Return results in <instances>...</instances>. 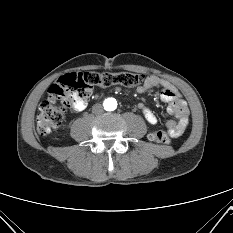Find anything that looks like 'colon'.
<instances>
[{"label": "colon", "mask_w": 233, "mask_h": 233, "mask_svg": "<svg viewBox=\"0 0 233 233\" xmlns=\"http://www.w3.org/2000/svg\"><path fill=\"white\" fill-rule=\"evenodd\" d=\"M144 81L143 74L132 72L68 73L50 86L46 97L41 102L36 115L37 131L40 135H47L58 128L65 112L78 102L89 98L96 86L137 87ZM148 137L158 144H168L171 141L169 134L161 130L151 132Z\"/></svg>", "instance_id": "obj_1"}]
</instances>
